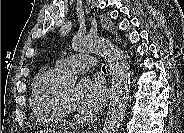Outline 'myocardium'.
Listing matches in <instances>:
<instances>
[{
  "instance_id": "1",
  "label": "myocardium",
  "mask_w": 184,
  "mask_h": 133,
  "mask_svg": "<svg viewBox=\"0 0 184 133\" xmlns=\"http://www.w3.org/2000/svg\"><path fill=\"white\" fill-rule=\"evenodd\" d=\"M59 103H60V107L64 113V115L71 117V118H76V113L75 111H73L71 109V107L67 104V102L65 101L61 91H59Z\"/></svg>"
}]
</instances>
